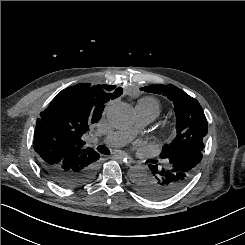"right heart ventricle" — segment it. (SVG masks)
I'll list each match as a JSON object with an SVG mask.
<instances>
[{
	"instance_id": "e07e8e85",
	"label": "right heart ventricle",
	"mask_w": 245,
	"mask_h": 245,
	"mask_svg": "<svg viewBox=\"0 0 245 245\" xmlns=\"http://www.w3.org/2000/svg\"><path fill=\"white\" fill-rule=\"evenodd\" d=\"M137 106H140L144 109L154 112L156 116L160 113V110H161V104L159 100L152 96H146V97L141 98L138 101Z\"/></svg>"
}]
</instances>
